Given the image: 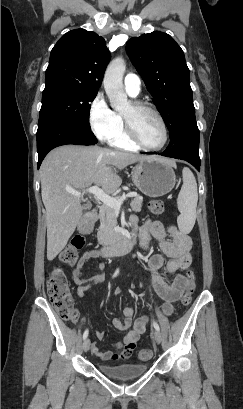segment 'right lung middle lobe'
I'll list each match as a JSON object with an SVG mask.
<instances>
[{
    "mask_svg": "<svg viewBox=\"0 0 243 409\" xmlns=\"http://www.w3.org/2000/svg\"><path fill=\"white\" fill-rule=\"evenodd\" d=\"M38 129L51 123H65L90 129L89 113L97 90L63 81H45Z\"/></svg>",
    "mask_w": 243,
    "mask_h": 409,
    "instance_id": "right-lung-middle-lobe-1",
    "label": "right lung middle lobe"
}]
</instances>
